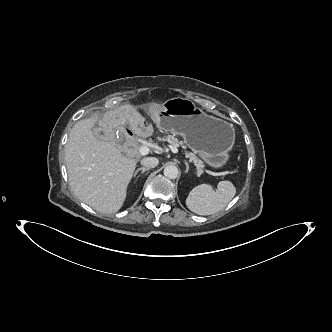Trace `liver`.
Wrapping results in <instances>:
<instances>
[{"instance_id":"obj_1","label":"liver","mask_w":332,"mask_h":332,"mask_svg":"<svg viewBox=\"0 0 332 332\" xmlns=\"http://www.w3.org/2000/svg\"><path fill=\"white\" fill-rule=\"evenodd\" d=\"M127 108L108 112L102 119L78 121L72 128L65 147L69 184L74 194L101 213H115L126 199L127 187L137 161L124 156L110 141L97 139L92 131L99 121L108 137L121 125ZM125 118V116H122Z\"/></svg>"}]
</instances>
